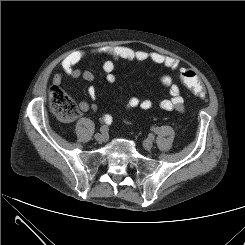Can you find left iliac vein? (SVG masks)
Instances as JSON below:
<instances>
[{"mask_svg":"<svg viewBox=\"0 0 245 245\" xmlns=\"http://www.w3.org/2000/svg\"><path fill=\"white\" fill-rule=\"evenodd\" d=\"M143 146H144V148H145L146 150H150V149L152 148V146H153L152 140H151V139H145V140L143 141Z\"/></svg>","mask_w":245,"mask_h":245,"instance_id":"left-iliac-vein-1","label":"left iliac vein"}]
</instances>
